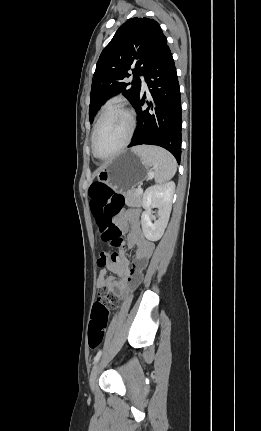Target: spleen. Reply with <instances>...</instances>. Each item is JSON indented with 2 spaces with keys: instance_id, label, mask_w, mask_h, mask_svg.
Instances as JSON below:
<instances>
[{
  "instance_id": "obj_1",
  "label": "spleen",
  "mask_w": 261,
  "mask_h": 431,
  "mask_svg": "<svg viewBox=\"0 0 261 431\" xmlns=\"http://www.w3.org/2000/svg\"><path fill=\"white\" fill-rule=\"evenodd\" d=\"M143 162L155 170V182L162 185L172 179L177 170V163L171 153L160 147L138 146L133 148Z\"/></svg>"
}]
</instances>
